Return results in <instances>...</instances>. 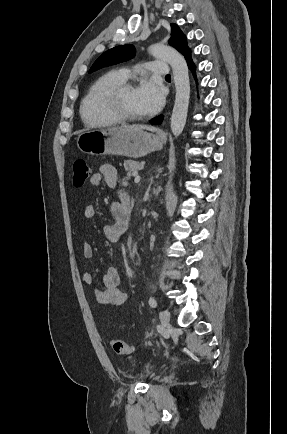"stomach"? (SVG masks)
Instances as JSON below:
<instances>
[{
  "mask_svg": "<svg viewBox=\"0 0 287 434\" xmlns=\"http://www.w3.org/2000/svg\"><path fill=\"white\" fill-rule=\"evenodd\" d=\"M78 149L90 155H120L131 158L143 157L161 150L163 140L144 130L107 128L88 130L77 137Z\"/></svg>",
  "mask_w": 287,
  "mask_h": 434,
  "instance_id": "obj_1",
  "label": "stomach"
}]
</instances>
